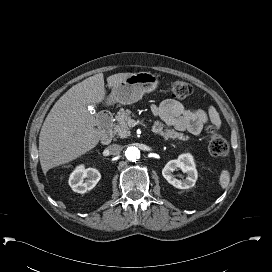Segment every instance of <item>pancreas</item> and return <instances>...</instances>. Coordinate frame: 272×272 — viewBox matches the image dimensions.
<instances>
[{
  "mask_svg": "<svg viewBox=\"0 0 272 272\" xmlns=\"http://www.w3.org/2000/svg\"><path fill=\"white\" fill-rule=\"evenodd\" d=\"M132 112L129 109L121 108L115 118L117 120V124L114 125L113 132L114 134L118 135L121 138L127 137L130 135V128L128 125L129 120L131 119ZM164 125L156 120L152 126V132L155 134H159L165 140L172 139V140H179V141H188L189 137L185 136L183 133L177 132L174 129H163Z\"/></svg>",
  "mask_w": 272,
  "mask_h": 272,
  "instance_id": "1",
  "label": "pancreas"
}]
</instances>
